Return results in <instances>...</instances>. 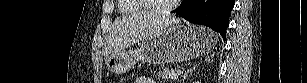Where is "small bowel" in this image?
Masks as SVG:
<instances>
[{
    "label": "small bowel",
    "instance_id": "1",
    "mask_svg": "<svg viewBox=\"0 0 307 83\" xmlns=\"http://www.w3.org/2000/svg\"><path fill=\"white\" fill-rule=\"evenodd\" d=\"M138 83H155V81L151 78L142 77L138 80Z\"/></svg>",
    "mask_w": 307,
    "mask_h": 83
}]
</instances>
